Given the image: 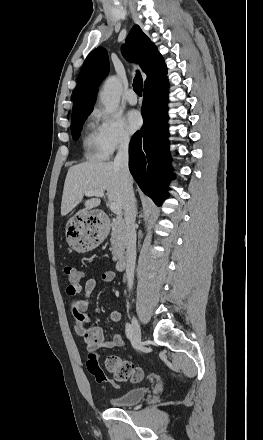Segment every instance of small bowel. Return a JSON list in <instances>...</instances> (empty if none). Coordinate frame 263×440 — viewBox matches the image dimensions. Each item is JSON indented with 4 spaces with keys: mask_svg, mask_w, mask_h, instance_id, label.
Masks as SVG:
<instances>
[{
    "mask_svg": "<svg viewBox=\"0 0 263 440\" xmlns=\"http://www.w3.org/2000/svg\"><path fill=\"white\" fill-rule=\"evenodd\" d=\"M116 273L114 271H106L102 274L101 279L105 285L114 283ZM96 279L88 278L84 284V296L82 298H73L71 302L72 314L74 317V329L76 334L81 337L89 351H95L99 348H116L124 344V338L121 333H117L111 340H107L104 336L103 330L98 325H92L87 311L91 306V297L96 287ZM81 290L78 288H68V294L75 296ZM112 322H119L121 320V313L119 311H112L109 314Z\"/></svg>",
    "mask_w": 263,
    "mask_h": 440,
    "instance_id": "c3829d8e",
    "label": "small bowel"
}]
</instances>
